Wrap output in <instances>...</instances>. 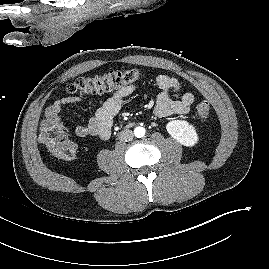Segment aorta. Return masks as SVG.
Segmentation results:
<instances>
[{
    "instance_id": "762f6f07",
    "label": "aorta",
    "mask_w": 269,
    "mask_h": 269,
    "mask_svg": "<svg viewBox=\"0 0 269 269\" xmlns=\"http://www.w3.org/2000/svg\"><path fill=\"white\" fill-rule=\"evenodd\" d=\"M134 135L137 137V138H142L144 135H145V128L143 127H136L134 129Z\"/></svg>"
}]
</instances>
